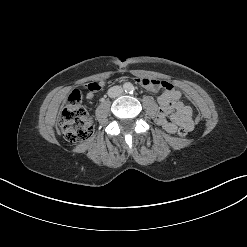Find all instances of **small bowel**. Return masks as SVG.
I'll list each match as a JSON object with an SVG mask.
<instances>
[{"label": "small bowel", "mask_w": 247, "mask_h": 247, "mask_svg": "<svg viewBox=\"0 0 247 247\" xmlns=\"http://www.w3.org/2000/svg\"><path fill=\"white\" fill-rule=\"evenodd\" d=\"M136 81L143 88L150 91L156 92L163 90L158 98L159 111L157 122L166 132L175 133L178 127H184L188 131L193 128V110L180 100L182 93L173 84L164 80L149 78H138ZM93 84L95 85V89L90 90L86 94L87 99H92L94 92L105 86L104 81H98Z\"/></svg>", "instance_id": "c3829d8e"}]
</instances>
